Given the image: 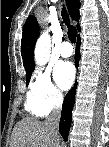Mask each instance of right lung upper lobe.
Returning <instances> with one entry per match:
<instances>
[{"instance_id":"right-lung-upper-lobe-1","label":"right lung upper lobe","mask_w":109,"mask_h":147,"mask_svg":"<svg viewBox=\"0 0 109 147\" xmlns=\"http://www.w3.org/2000/svg\"><path fill=\"white\" fill-rule=\"evenodd\" d=\"M67 6L71 18L78 22L80 19V14H79L80 2L78 0H67ZM78 30H80L79 26H78ZM38 36H39L38 22L34 16H30L25 22L23 28L22 41H21V54L26 69V73L34 70L35 68L33 52Z\"/></svg>"}]
</instances>
